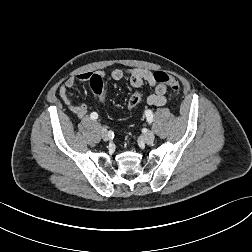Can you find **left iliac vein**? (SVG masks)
Segmentation results:
<instances>
[{
	"mask_svg": "<svg viewBox=\"0 0 252 252\" xmlns=\"http://www.w3.org/2000/svg\"><path fill=\"white\" fill-rule=\"evenodd\" d=\"M155 139V134L154 132L152 131H148L146 133H144L142 136H141V140L146 143V144H150L154 141Z\"/></svg>",
	"mask_w": 252,
	"mask_h": 252,
	"instance_id": "1",
	"label": "left iliac vein"
}]
</instances>
